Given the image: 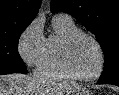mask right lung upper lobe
<instances>
[{"instance_id": "obj_1", "label": "right lung upper lobe", "mask_w": 119, "mask_h": 95, "mask_svg": "<svg viewBox=\"0 0 119 95\" xmlns=\"http://www.w3.org/2000/svg\"><path fill=\"white\" fill-rule=\"evenodd\" d=\"M41 0H0V28L13 24H30Z\"/></svg>"}]
</instances>
